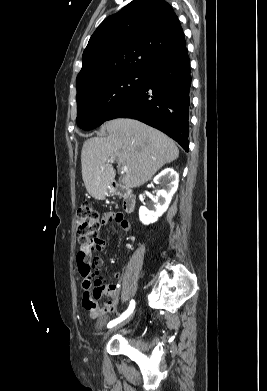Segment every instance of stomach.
<instances>
[{
  "mask_svg": "<svg viewBox=\"0 0 267 391\" xmlns=\"http://www.w3.org/2000/svg\"><path fill=\"white\" fill-rule=\"evenodd\" d=\"M111 189L110 188H108L107 190H106V192H105V196H109L110 194H111Z\"/></svg>",
  "mask_w": 267,
  "mask_h": 391,
  "instance_id": "obj_1",
  "label": "stomach"
}]
</instances>
